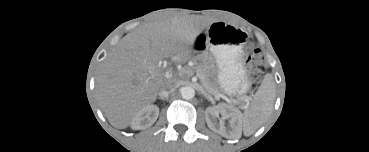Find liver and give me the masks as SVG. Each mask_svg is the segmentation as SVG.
Segmentation results:
<instances>
[{"label":"liver","mask_w":369,"mask_h":152,"mask_svg":"<svg viewBox=\"0 0 369 152\" xmlns=\"http://www.w3.org/2000/svg\"><path fill=\"white\" fill-rule=\"evenodd\" d=\"M202 26L173 17L149 23L125 35L102 64L96 95L109 123L127 128L136 113L151 105L165 82L164 58L186 61Z\"/></svg>","instance_id":"6515ba94"}]
</instances>
